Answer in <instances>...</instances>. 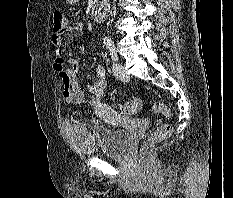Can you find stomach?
Returning <instances> with one entry per match:
<instances>
[{"label":"stomach","mask_w":233,"mask_h":198,"mask_svg":"<svg viewBox=\"0 0 233 198\" xmlns=\"http://www.w3.org/2000/svg\"><path fill=\"white\" fill-rule=\"evenodd\" d=\"M79 0H66V2L70 5H73L75 3H77Z\"/></svg>","instance_id":"stomach-1"}]
</instances>
